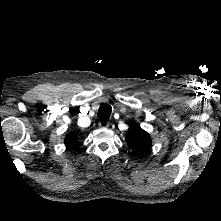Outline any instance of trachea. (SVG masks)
<instances>
[{
  "label": "trachea",
  "instance_id": "obj_1",
  "mask_svg": "<svg viewBox=\"0 0 221 221\" xmlns=\"http://www.w3.org/2000/svg\"><path fill=\"white\" fill-rule=\"evenodd\" d=\"M112 107L109 104H102L97 113V117L102 121H107L110 118Z\"/></svg>",
  "mask_w": 221,
  "mask_h": 221
}]
</instances>
